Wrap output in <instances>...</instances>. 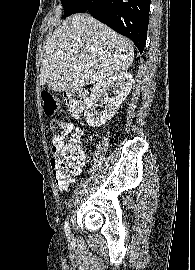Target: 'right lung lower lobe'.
Here are the masks:
<instances>
[{
  "instance_id": "right-lung-lower-lobe-1",
  "label": "right lung lower lobe",
  "mask_w": 195,
  "mask_h": 270,
  "mask_svg": "<svg viewBox=\"0 0 195 270\" xmlns=\"http://www.w3.org/2000/svg\"><path fill=\"white\" fill-rule=\"evenodd\" d=\"M151 0H81L76 13H90L116 32L130 38L143 52Z\"/></svg>"
}]
</instances>
